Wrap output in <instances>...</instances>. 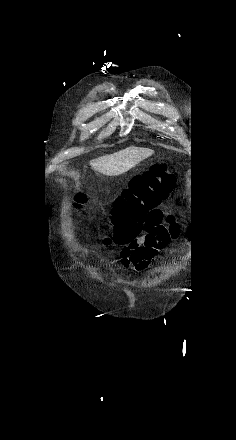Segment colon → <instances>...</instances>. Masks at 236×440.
<instances>
[{"instance_id":"5ec220e1","label":"colon","mask_w":236,"mask_h":440,"mask_svg":"<svg viewBox=\"0 0 236 440\" xmlns=\"http://www.w3.org/2000/svg\"><path fill=\"white\" fill-rule=\"evenodd\" d=\"M176 176L162 164L134 177L127 189L116 199L107 225L112 229L113 240L125 244L141 230L147 214L156 208L174 187ZM84 194L78 193L76 205L85 203Z\"/></svg>"}]
</instances>
